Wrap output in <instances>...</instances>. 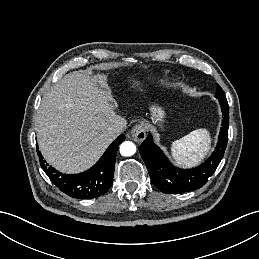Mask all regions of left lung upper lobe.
<instances>
[{
    "label": "left lung upper lobe",
    "mask_w": 259,
    "mask_h": 259,
    "mask_svg": "<svg viewBox=\"0 0 259 259\" xmlns=\"http://www.w3.org/2000/svg\"><path fill=\"white\" fill-rule=\"evenodd\" d=\"M215 97L216 98L225 97V93H224V91L222 90V88L219 85H217V90H216Z\"/></svg>",
    "instance_id": "obj_1"
}]
</instances>
